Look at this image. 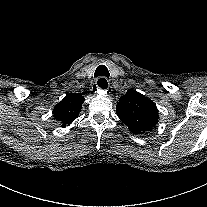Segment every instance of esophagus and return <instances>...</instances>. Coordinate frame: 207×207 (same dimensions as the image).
<instances>
[{
  "mask_svg": "<svg viewBox=\"0 0 207 207\" xmlns=\"http://www.w3.org/2000/svg\"><path fill=\"white\" fill-rule=\"evenodd\" d=\"M100 81L97 85V88L102 93H107V91L110 88V85L108 83V80L105 77H100L97 79V82Z\"/></svg>",
  "mask_w": 207,
  "mask_h": 207,
  "instance_id": "34e87169",
  "label": "esophagus"
}]
</instances>
